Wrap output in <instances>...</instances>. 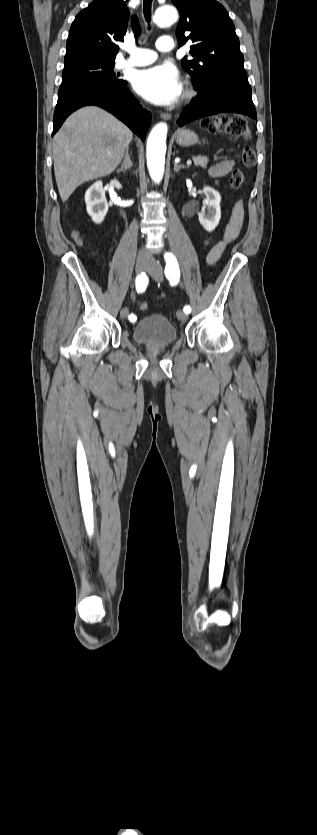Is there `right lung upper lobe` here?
Returning <instances> with one entry per match:
<instances>
[{
	"label": "right lung upper lobe",
	"instance_id": "cb5924a9",
	"mask_svg": "<svg viewBox=\"0 0 317 835\" xmlns=\"http://www.w3.org/2000/svg\"><path fill=\"white\" fill-rule=\"evenodd\" d=\"M129 20L124 0H94L73 21L66 45L65 61L100 59L114 62ZM135 35L140 34L137 17H132Z\"/></svg>",
	"mask_w": 317,
	"mask_h": 835
}]
</instances>
